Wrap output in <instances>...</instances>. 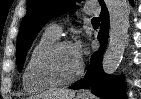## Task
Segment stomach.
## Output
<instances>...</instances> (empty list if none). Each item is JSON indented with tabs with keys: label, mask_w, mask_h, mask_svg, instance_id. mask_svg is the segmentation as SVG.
I'll return each mask as SVG.
<instances>
[{
	"label": "stomach",
	"mask_w": 141,
	"mask_h": 99,
	"mask_svg": "<svg viewBox=\"0 0 141 99\" xmlns=\"http://www.w3.org/2000/svg\"><path fill=\"white\" fill-rule=\"evenodd\" d=\"M33 99H37V98H33ZM76 99H86V98L84 96H77Z\"/></svg>",
	"instance_id": "1"
}]
</instances>
